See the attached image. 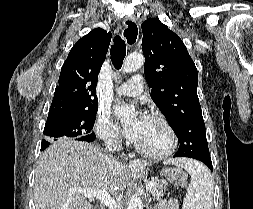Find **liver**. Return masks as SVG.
<instances>
[{
	"instance_id": "liver-1",
	"label": "liver",
	"mask_w": 253,
	"mask_h": 209,
	"mask_svg": "<svg viewBox=\"0 0 253 209\" xmlns=\"http://www.w3.org/2000/svg\"><path fill=\"white\" fill-rule=\"evenodd\" d=\"M108 155L86 142L62 139L40 156L34 181L36 209H95L76 188L105 190L116 196L122 191L130 173L118 163L110 167ZM143 168L135 177L144 175Z\"/></svg>"
}]
</instances>
